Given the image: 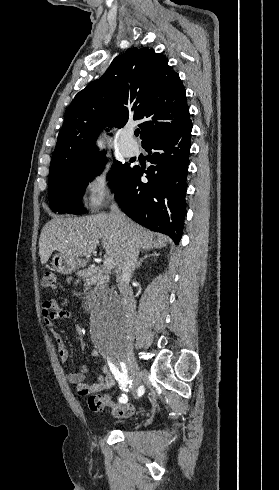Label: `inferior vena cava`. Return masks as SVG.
<instances>
[{
	"label": "inferior vena cava",
	"mask_w": 279,
	"mask_h": 490,
	"mask_svg": "<svg viewBox=\"0 0 279 490\" xmlns=\"http://www.w3.org/2000/svg\"><path fill=\"white\" fill-rule=\"evenodd\" d=\"M109 216L111 220H114V224L119 226V228L127 224L125 214L119 210L118 204H116L114 200L111 202ZM138 256L139 248L135 240L132 238V240H129L128 242L124 262H122L116 276V282L123 304V312H125L129 328H134L136 322V302L133 292L129 286V282L131 280L133 270L137 264Z\"/></svg>",
	"instance_id": "inferior-vena-cava-1"
}]
</instances>
